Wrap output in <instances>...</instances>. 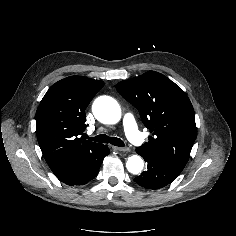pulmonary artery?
<instances>
[{
	"instance_id": "pulmonary-artery-1",
	"label": "pulmonary artery",
	"mask_w": 236,
	"mask_h": 236,
	"mask_svg": "<svg viewBox=\"0 0 236 236\" xmlns=\"http://www.w3.org/2000/svg\"><path fill=\"white\" fill-rule=\"evenodd\" d=\"M124 131L128 139L135 145L143 143V137L137 128V124L132 114L127 113L123 118Z\"/></svg>"
}]
</instances>
